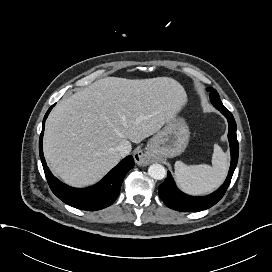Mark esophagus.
Instances as JSON below:
<instances>
[{"label": "esophagus", "instance_id": "1", "mask_svg": "<svg viewBox=\"0 0 272 272\" xmlns=\"http://www.w3.org/2000/svg\"><path fill=\"white\" fill-rule=\"evenodd\" d=\"M134 159H135L136 163L140 166H145L150 161L149 156L142 151H136L134 153Z\"/></svg>", "mask_w": 272, "mask_h": 272}]
</instances>
